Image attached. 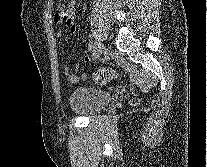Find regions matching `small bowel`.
Here are the masks:
<instances>
[{
	"instance_id": "c3829d8e",
	"label": "small bowel",
	"mask_w": 207,
	"mask_h": 167,
	"mask_svg": "<svg viewBox=\"0 0 207 167\" xmlns=\"http://www.w3.org/2000/svg\"><path fill=\"white\" fill-rule=\"evenodd\" d=\"M76 1L77 0H59V2L56 4V15L54 18L55 23L65 25L73 34L76 32V26L74 23ZM57 35L61 37L63 33L59 31ZM90 60L91 56L86 55L84 57L85 62H89ZM78 70L79 63L76 62L73 70L66 66L63 71L68 81L75 83L85 80L87 77L85 73H79Z\"/></svg>"
}]
</instances>
